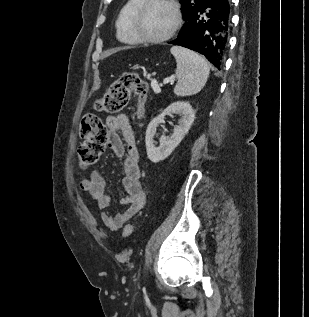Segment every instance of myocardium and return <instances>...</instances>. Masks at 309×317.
Masks as SVG:
<instances>
[{"label": "myocardium", "mask_w": 309, "mask_h": 317, "mask_svg": "<svg viewBox=\"0 0 309 317\" xmlns=\"http://www.w3.org/2000/svg\"><path fill=\"white\" fill-rule=\"evenodd\" d=\"M153 3H165L169 5L175 15V21L172 28L164 35L159 37H149L142 34L138 28L139 20L143 14V12ZM183 23L182 12L180 6L176 0H142V2L136 7L134 12L131 15L130 26L131 31L134 36L137 38L139 42L142 43H150V44H158L165 42L171 39L177 31L180 29Z\"/></svg>", "instance_id": "f54148a6"}]
</instances>
